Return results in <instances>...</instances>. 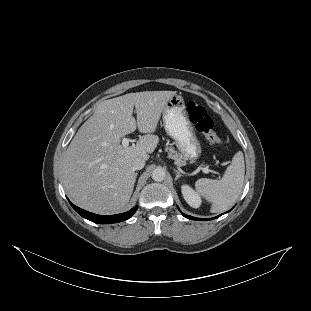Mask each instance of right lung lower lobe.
<instances>
[{
    "instance_id": "obj_1",
    "label": "right lung lower lobe",
    "mask_w": 311,
    "mask_h": 311,
    "mask_svg": "<svg viewBox=\"0 0 311 311\" xmlns=\"http://www.w3.org/2000/svg\"><path fill=\"white\" fill-rule=\"evenodd\" d=\"M69 203L71 204V206L73 207V209L79 213L82 217L95 222V223H99V224H110V223H117V222H121L124 221L128 218H130L137 210V206L132 208L130 211L126 212V213H122V214H116V215H110V216H101V215H97V214H93L90 213L88 211H85L77 206H75L74 204H72L70 201Z\"/></svg>"
}]
</instances>
